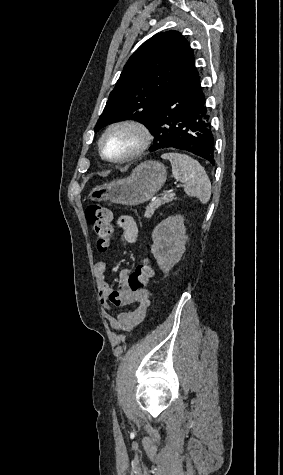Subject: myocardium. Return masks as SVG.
I'll use <instances>...</instances> for the list:
<instances>
[{"instance_id": "1", "label": "myocardium", "mask_w": 283, "mask_h": 475, "mask_svg": "<svg viewBox=\"0 0 283 475\" xmlns=\"http://www.w3.org/2000/svg\"><path fill=\"white\" fill-rule=\"evenodd\" d=\"M119 129H133L139 137L134 147L126 154L118 157H108L103 150L104 140L113 132ZM152 140V132L147 124L136 119H121L110 124L102 133L99 142L98 150L100 156L107 162H127L134 160L141 156L149 147Z\"/></svg>"}]
</instances>
